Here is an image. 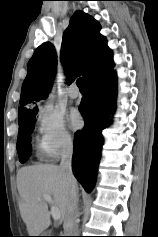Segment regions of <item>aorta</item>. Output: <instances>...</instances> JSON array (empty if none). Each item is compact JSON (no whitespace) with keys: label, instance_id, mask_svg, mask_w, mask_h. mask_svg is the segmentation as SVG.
Returning <instances> with one entry per match:
<instances>
[{"label":"aorta","instance_id":"762f6f07","mask_svg":"<svg viewBox=\"0 0 158 237\" xmlns=\"http://www.w3.org/2000/svg\"><path fill=\"white\" fill-rule=\"evenodd\" d=\"M49 97L52 98V97H53V94H51Z\"/></svg>","mask_w":158,"mask_h":237}]
</instances>
